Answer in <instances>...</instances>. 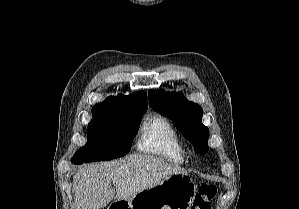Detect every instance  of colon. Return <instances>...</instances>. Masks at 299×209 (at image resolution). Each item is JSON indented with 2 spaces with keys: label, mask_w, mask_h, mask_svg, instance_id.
<instances>
[{
  "label": "colon",
  "mask_w": 299,
  "mask_h": 209,
  "mask_svg": "<svg viewBox=\"0 0 299 209\" xmlns=\"http://www.w3.org/2000/svg\"><path fill=\"white\" fill-rule=\"evenodd\" d=\"M218 188L209 183L199 186L191 209H211V202L216 197Z\"/></svg>",
  "instance_id": "5ec220e1"
}]
</instances>
